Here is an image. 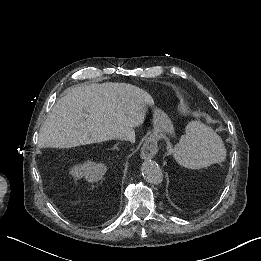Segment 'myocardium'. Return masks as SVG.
<instances>
[{
	"label": "myocardium",
	"mask_w": 261,
	"mask_h": 261,
	"mask_svg": "<svg viewBox=\"0 0 261 261\" xmlns=\"http://www.w3.org/2000/svg\"><path fill=\"white\" fill-rule=\"evenodd\" d=\"M168 133H169V138L167 140V143L160 145V149L172 150L174 147H176V145L178 143L177 136L174 134L173 130H169ZM157 138H158V136L156 134L151 133L150 139L154 140Z\"/></svg>",
	"instance_id": "myocardium-1"
}]
</instances>
